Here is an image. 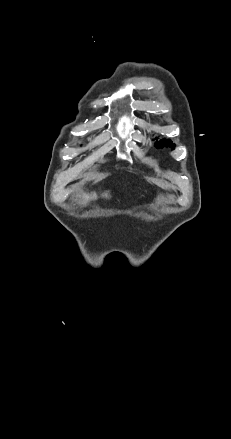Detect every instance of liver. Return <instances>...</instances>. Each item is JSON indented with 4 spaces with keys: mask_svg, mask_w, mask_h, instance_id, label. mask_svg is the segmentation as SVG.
<instances>
[{
    "mask_svg": "<svg viewBox=\"0 0 231 439\" xmlns=\"http://www.w3.org/2000/svg\"><path fill=\"white\" fill-rule=\"evenodd\" d=\"M102 196L108 198V193H104ZM83 198L84 202L87 203L89 200H96L97 194L95 192L91 194H83Z\"/></svg>",
    "mask_w": 231,
    "mask_h": 439,
    "instance_id": "1",
    "label": "liver"
}]
</instances>
